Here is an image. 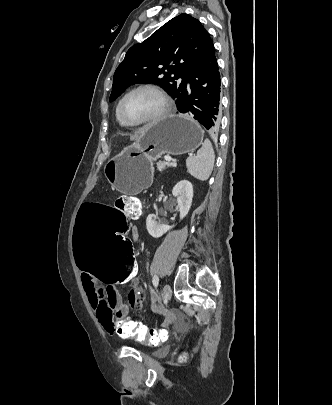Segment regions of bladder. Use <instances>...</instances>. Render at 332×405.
I'll return each mask as SVG.
<instances>
[{
    "mask_svg": "<svg viewBox=\"0 0 332 405\" xmlns=\"http://www.w3.org/2000/svg\"><path fill=\"white\" fill-rule=\"evenodd\" d=\"M168 353V348L166 346H162L158 349H156L155 351L152 352V356L156 357V358H161L166 356Z\"/></svg>",
    "mask_w": 332,
    "mask_h": 405,
    "instance_id": "1",
    "label": "bladder"
}]
</instances>
